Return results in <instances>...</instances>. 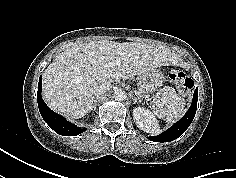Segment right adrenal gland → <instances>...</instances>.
<instances>
[{"label": "right adrenal gland", "mask_w": 236, "mask_h": 178, "mask_svg": "<svg viewBox=\"0 0 236 178\" xmlns=\"http://www.w3.org/2000/svg\"><path fill=\"white\" fill-rule=\"evenodd\" d=\"M98 99H99V96L95 98V100H94V102H93L92 110H93V109H94V110L96 109V103H97Z\"/></svg>", "instance_id": "right-adrenal-gland-1"}]
</instances>
